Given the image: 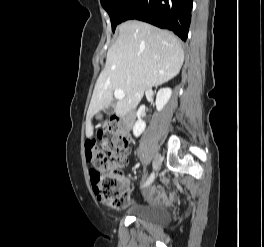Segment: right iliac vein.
<instances>
[{
	"label": "right iliac vein",
	"instance_id": "right-iliac-vein-1",
	"mask_svg": "<svg viewBox=\"0 0 264 247\" xmlns=\"http://www.w3.org/2000/svg\"><path fill=\"white\" fill-rule=\"evenodd\" d=\"M161 166V158L159 155H156L153 161V169L155 171H158L160 169Z\"/></svg>",
	"mask_w": 264,
	"mask_h": 247
}]
</instances>
